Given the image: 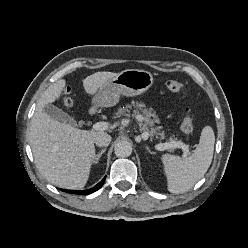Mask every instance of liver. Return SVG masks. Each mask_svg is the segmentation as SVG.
<instances>
[{
	"mask_svg": "<svg viewBox=\"0 0 248 248\" xmlns=\"http://www.w3.org/2000/svg\"><path fill=\"white\" fill-rule=\"evenodd\" d=\"M113 72H96L83 80L85 92L94 95ZM66 81L51 84L37 102L31 120L29 140L38 171L51 184L66 189L85 186L95 159V137L103 131H87L61 123L44 112V107L59 99Z\"/></svg>",
	"mask_w": 248,
	"mask_h": 248,
	"instance_id": "obj_1",
	"label": "liver"
}]
</instances>
